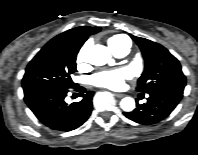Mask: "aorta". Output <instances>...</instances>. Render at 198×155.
<instances>
[{
	"label": "aorta",
	"instance_id": "762f6f07",
	"mask_svg": "<svg viewBox=\"0 0 198 155\" xmlns=\"http://www.w3.org/2000/svg\"><path fill=\"white\" fill-rule=\"evenodd\" d=\"M87 60L92 65L102 66L110 62L111 53L107 47L96 44L88 49ZM120 107L125 112H131L135 108V100L132 97H125L121 100Z\"/></svg>",
	"mask_w": 198,
	"mask_h": 155
}]
</instances>
